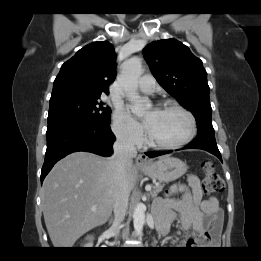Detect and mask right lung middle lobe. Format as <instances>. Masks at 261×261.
Segmentation results:
<instances>
[{
	"label": "right lung middle lobe",
	"instance_id": "1",
	"mask_svg": "<svg viewBox=\"0 0 261 261\" xmlns=\"http://www.w3.org/2000/svg\"><path fill=\"white\" fill-rule=\"evenodd\" d=\"M99 99V95H87L76 92L52 94L48 125L70 120L110 125L111 109L104 107Z\"/></svg>",
	"mask_w": 261,
	"mask_h": 261
}]
</instances>
